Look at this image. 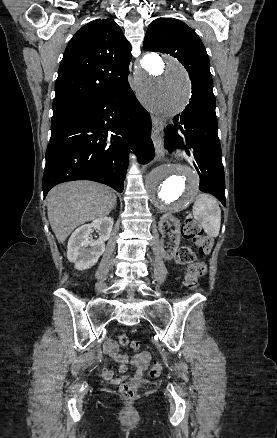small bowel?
Segmentation results:
<instances>
[{"instance_id": "1", "label": "small bowel", "mask_w": 277, "mask_h": 438, "mask_svg": "<svg viewBox=\"0 0 277 438\" xmlns=\"http://www.w3.org/2000/svg\"><path fill=\"white\" fill-rule=\"evenodd\" d=\"M105 347L108 350L104 352V355L110 358L114 357L120 363V371L124 374L130 369H134L136 374H140L150 361V355L148 352H142L128 360L127 356L118 353L117 347L113 342H106ZM104 377L109 380L114 378L113 373L110 371H105Z\"/></svg>"}]
</instances>
